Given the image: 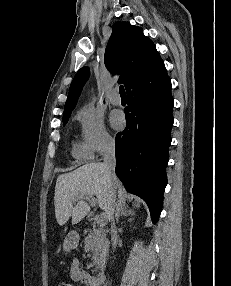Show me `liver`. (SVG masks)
I'll return each mask as SVG.
<instances>
[{
  "mask_svg": "<svg viewBox=\"0 0 231 286\" xmlns=\"http://www.w3.org/2000/svg\"><path fill=\"white\" fill-rule=\"evenodd\" d=\"M118 202L125 204V192L121 183L116 179L113 185ZM111 182L106 174L103 163H90L76 170L58 176L55 186L54 206L55 217L60 226L69 218L72 224L80 222L90 211V206L82 199L85 196H96L98 206L103 209L107 219L110 205ZM75 200L78 203L73 206ZM139 207V202L135 205Z\"/></svg>",
  "mask_w": 231,
  "mask_h": 286,
  "instance_id": "obj_1",
  "label": "liver"
}]
</instances>
